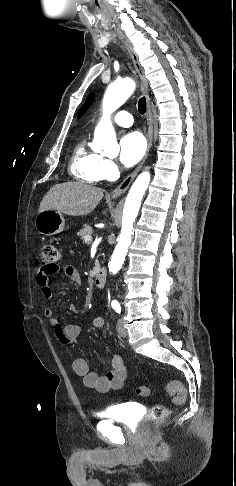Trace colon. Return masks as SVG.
I'll return each mask as SVG.
<instances>
[{"label":"colon","mask_w":236,"mask_h":486,"mask_svg":"<svg viewBox=\"0 0 236 486\" xmlns=\"http://www.w3.org/2000/svg\"><path fill=\"white\" fill-rule=\"evenodd\" d=\"M60 258V252L58 248L53 244H46L41 249V267L45 270H52L57 266V262ZM165 393L167 396L172 397V401L175 405L179 406L185 403L187 398V391L185 386L178 380L170 381L165 386ZM137 394L142 397H147L151 394V389L147 386H139L137 388ZM170 414V409L164 405H155L151 408L146 422L144 424V430L150 431L154 426L163 422Z\"/></svg>","instance_id":"colon-1"}]
</instances>
